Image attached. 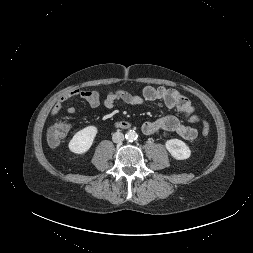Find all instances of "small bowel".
Returning a JSON list of instances; mask_svg holds the SVG:
<instances>
[{"label": "small bowel", "instance_id": "c3829d8e", "mask_svg": "<svg viewBox=\"0 0 253 253\" xmlns=\"http://www.w3.org/2000/svg\"><path fill=\"white\" fill-rule=\"evenodd\" d=\"M80 97L87 102L91 108H97L103 105L107 109H111L117 102L124 104L139 106L145 102L163 101L164 104L171 109H176L189 123L196 124L199 117L195 114V108L190 100L176 89L165 88L163 86L153 87L146 86L141 94H132L127 91L117 90L109 92L103 98L96 91L73 89L61 96L52 108L51 116L57 117L63 104L71 98ZM76 109L68 108V114L74 115ZM142 131L146 135L163 134L168 136L176 133L184 140L192 141L197 137V129L193 126L185 125L175 116H165L155 121H148L142 125Z\"/></svg>", "mask_w": 253, "mask_h": 253}]
</instances>
